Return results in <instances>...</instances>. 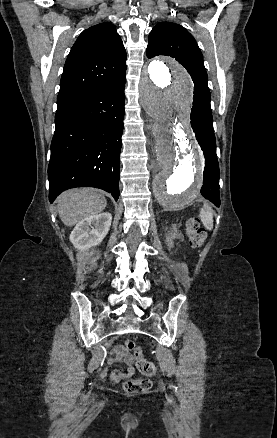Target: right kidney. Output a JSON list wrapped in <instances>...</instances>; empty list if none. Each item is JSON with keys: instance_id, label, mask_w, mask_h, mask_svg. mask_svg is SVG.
Listing matches in <instances>:
<instances>
[{"instance_id": "right-kidney-1", "label": "right kidney", "mask_w": 277, "mask_h": 438, "mask_svg": "<svg viewBox=\"0 0 277 438\" xmlns=\"http://www.w3.org/2000/svg\"><path fill=\"white\" fill-rule=\"evenodd\" d=\"M112 216L109 212L87 216L76 224L70 234V242L76 250H88L92 246H98L109 232Z\"/></svg>"}]
</instances>
